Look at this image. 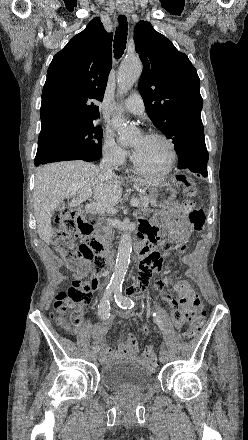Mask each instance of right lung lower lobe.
Masks as SVG:
<instances>
[{"label":"right lung lower lobe","mask_w":248,"mask_h":440,"mask_svg":"<svg viewBox=\"0 0 248 440\" xmlns=\"http://www.w3.org/2000/svg\"><path fill=\"white\" fill-rule=\"evenodd\" d=\"M74 160H84V161L90 162V161H94L95 159H93V158H78V159H74ZM36 166H39V165H36Z\"/></svg>","instance_id":"obj_1"}]
</instances>
